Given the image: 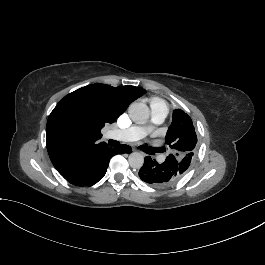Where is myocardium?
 <instances>
[{
    "label": "myocardium",
    "mask_w": 265,
    "mask_h": 265,
    "mask_svg": "<svg viewBox=\"0 0 265 265\" xmlns=\"http://www.w3.org/2000/svg\"><path fill=\"white\" fill-rule=\"evenodd\" d=\"M152 107H153V106H150V107H149L150 114H152V112H151ZM152 116H154V115L152 114Z\"/></svg>",
    "instance_id": "obj_1"
}]
</instances>
